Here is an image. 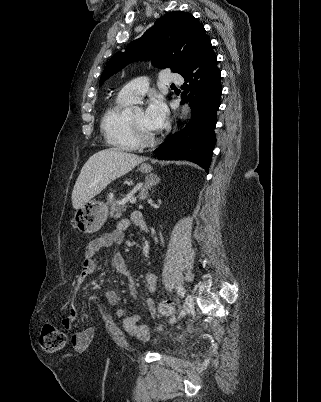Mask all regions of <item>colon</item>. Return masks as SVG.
Segmentation results:
<instances>
[{"mask_svg": "<svg viewBox=\"0 0 321 402\" xmlns=\"http://www.w3.org/2000/svg\"><path fill=\"white\" fill-rule=\"evenodd\" d=\"M174 312V305L170 301H163L159 303L157 308L158 316L169 317L172 316ZM40 343L45 352L56 353L66 346L67 337L58 326L48 323L42 328Z\"/></svg>", "mask_w": 321, "mask_h": 402, "instance_id": "1", "label": "colon"}]
</instances>
